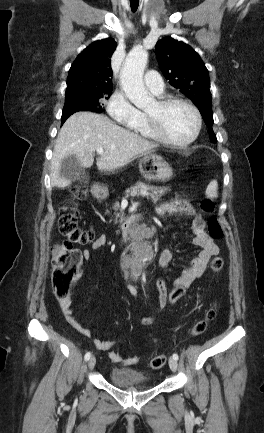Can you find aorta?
I'll return each instance as SVG.
<instances>
[{
	"instance_id": "1",
	"label": "aorta",
	"mask_w": 264,
	"mask_h": 433,
	"mask_svg": "<svg viewBox=\"0 0 264 433\" xmlns=\"http://www.w3.org/2000/svg\"><path fill=\"white\" fill-rule=\"evenodd\" d=\"M147 60V51L142 47H136L128 53L122 68L123 90L128 99L138 108H144L152 101L143 83Z\"/></svg>"
}]
</instances>
